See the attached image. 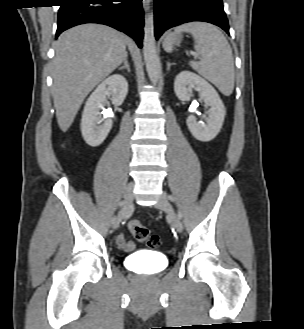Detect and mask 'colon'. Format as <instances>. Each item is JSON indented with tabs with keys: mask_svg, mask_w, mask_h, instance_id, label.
<instances>
[{
	"mask_svg": "<svg viewBox=\"0 0 304 329\" xmlns=\"http://www.w3.org/2000/svg\"><path fill=\"white\" fill-rule=\"evenodd\" d=\"M127 226L129 232L137 241L146 243L151 248H156L160 244V238L155 234H151L140 221L130 220Z\"/></svg>",
	"mask_w": 304,
	"mask_h": 329,
	"instance_id": "1",
	"label": "colon"
}]
</instances>
